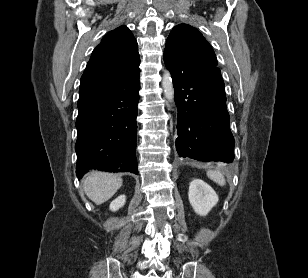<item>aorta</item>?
I'll use <instances>...</instances> for the list:
<instances>
[{
  "mask_svg": "<svg viewBox=\"0 0 308 278\" xmlns=\"http://www.w3.org/2000/svg\"><path fill=\"white\" fill-rule=\"evenodd\" d=\"M162 87L164 90L165 98L169 102H172L174 100V87L171 74L168 71L163 74Z\"/></svg>",
  "mask_w": 308,
  "mask_h": 278,
  "instance_id": "aorta-1",
  "label": "aorta"
}]
</instances>
